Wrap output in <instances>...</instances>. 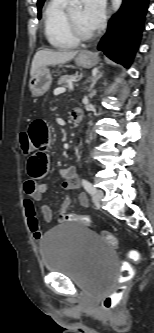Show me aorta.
<instances>
[{
	"label": "aorta",
	"mask_w": 154,
	"mask_h": 333,
	"mask_svg": "<svg viewBox=\"0 0 154 333\" xmlns=\"http://www.w3.org/2000/svg\"><path fill=\"white\" fill-rule=\"evenodd\" d=\"M123 0H111V5H112V9L113 11H117L121 4H122ZM79 3V0H70V4L71 5H77Z\"/></svg>",
	"instance_id": "1"
}]
</instances>
